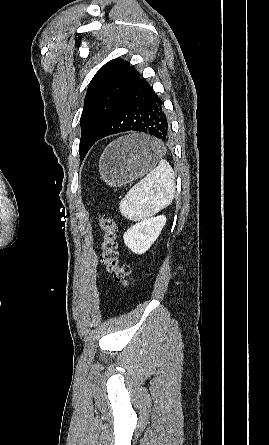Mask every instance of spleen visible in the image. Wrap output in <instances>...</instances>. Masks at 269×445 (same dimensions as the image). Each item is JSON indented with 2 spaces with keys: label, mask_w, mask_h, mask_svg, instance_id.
I'll list each match as a JSON object with an SVG mask.
<instances>
[{
  "label": "spleen",
  "mask_w": 269,
  "mask_h": 445,
  "mask_svg": "<svg viewBox=\"0 0 269 445\" xmlns=\"http://www.w3.org/2000/svg\"><path fill=\"white\" fill-rule=\"evenodd\" d=\"M174 171L166 160H160L121 200V214L132 221H144L169 204L175 192Z\"/></svg>",
  "instance_id": "obj_1"
}]
</instances>
